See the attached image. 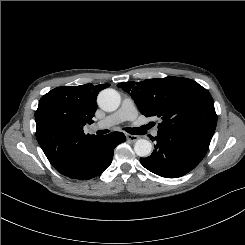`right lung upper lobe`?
<instances>
[{
	"mask_svg": "<svg viewBox=\"0 0 245 245\" xmlns=\"http://www.w3.org/2000/svg\"><path fill=\"white\" fill-rule=\"evenodd\" d=\"M109 84L57 87L42 96L35 112L36 138L56 170L70 167L100 136L84 134L92 124L98 93Z\"/></svg>",
	"mask_w": 245,
	"mask_h": 245,
	"instance_id": "right-lung-upper-lobe-1",
	"label": "right lung upper lobe"
}]
</instances>
